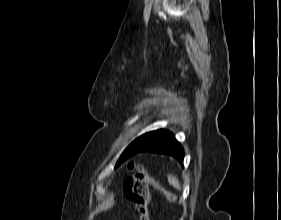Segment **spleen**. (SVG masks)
<instances>
[{
    "label": "spleen",
    "mask_w": 281,
    "mask_h": 220,
    "mask_svg": "<svg viewBox=\"0 0 281 220\" xmlns=\"http://www.w3.org/2000/svg\"><path fill=\"white\" fill-rule=\"evenodd\" d=\"M169 183L178 190H181V185L178 178L174 175H168Z\"/></svg>",
    "instance_id": "obj_1"
}]
</instances>
